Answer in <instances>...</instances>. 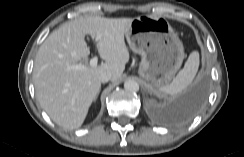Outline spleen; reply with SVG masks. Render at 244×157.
<instances>
[{"mask_svg": "<svg viewBox=\"0 0 244 157\" xmlns=\"http://www.w3.org/2000/svg\"><path fill=\"white\" fill-rule=\"evenodd\" d=\"M199 66V53H190L184 67L179 71L171 83L160 87V91L169 95H177L182 92L194 79Z\"/></svg>", "mask_w": 244, "mask_h": 157, "instance_id": "1", "label": "spleen"}]
</instances>
